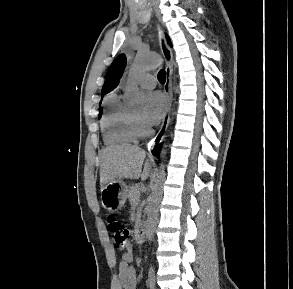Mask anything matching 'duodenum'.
Wrapping results in <instances>:
<instances>
[{
  "label": "duodenum",
  "instance_id": "410a0bca",
  "mask_svg": "<svg viewBox=\"0 0 293 289\" xmlns=\"http://www.w3.org/2000/svg\"><path fill=\"white\" fill-rule=\"evenodd\" d=\"M146 234H147L146 225L142 224L138 229L137 240L140 242L144 241L146 239Z\"/></svg>",
  "mask_w": 293,
  "mask_h": 289
}]
</instances>
